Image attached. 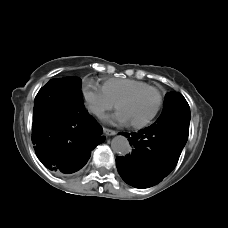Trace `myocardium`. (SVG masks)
Listing matches in <instances>:
<instances>
[{
	"label": "myocardium",
	"instance_id": "1",
	"mask_svg": "<svg viewBox=\"0 0 228 228\" xmlns=\"http://www.w3.org/2000/svg\"><path fill=\"white\" fill-rule=\"evenodd\" d=\"M155 92L158 96V102H157V105L154 109V111L152 112V114L146 118L145 120L141 121V122H130L131 126L135 127V128H142L146 125H148L155 117L156 115L158 114L159 110H160V107L162 105V94L161 92L155 88V87H149V88H146V89H143V90H139V91H136L132 94H129L127 95L126 97H124L118 104H117V108L121 111V107L127 103L128 101L134 99L135 97L141 95V94H144L146 92ZM122 112V111H121Z\"/></svg>",
	"mask_w": 228,
	"mask_h": 228
}]
</instances>
